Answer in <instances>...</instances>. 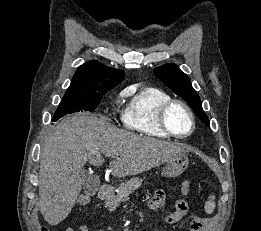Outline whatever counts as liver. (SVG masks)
<instances>
[{
	"label": "liver",
	"mask_w": 261,
	"mask_h": 231,
	"mask_svg": "<svg viewBox=\"0 0 261 231\" xmlns=\"http://www.w3.org/2000/svg\"><path fill=\"white\" fill-rule=\"evenodd\" d=\"M188 150L181 143L121 130L95 115L67 117L48 134L42 146L40 212L50 225L63 221L82 189L80 171L86 162L102 165V154L116 153L109 167L115 177L122 178L148 171Z\"/></svg>",
	"instance_id": "liver-1"
}]
</instances>
